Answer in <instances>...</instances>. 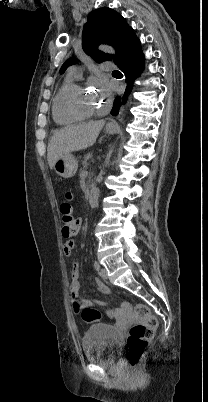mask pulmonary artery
Segmentation results:
<instances>
[{
  "label": "pulmonary artery",
  "instance_id": "pulmonary-artery-1",
  "mask_svg": "<svg viewBox=\"0 0 208 402\" xmlns=\"http://www.w3.org/2000/svg\"><path fill=\"white\" fill-rule=\"evenodd\" d=\"M101 69L103 71H107V72L111 71L113 69L112 62L110 60L103 61ZM67 76L70 77V78H79L80 77V75L78 74L77 70L73 69V68L68 70Z\"/></svg>",
  "mask_w": 208,
  "mask_h": 402
}]
</instances>
